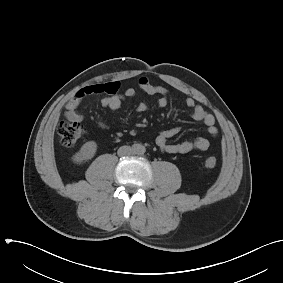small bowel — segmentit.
Listing matches in <instances>:
<instances>
[{"instance_id":"small-bowel-1","label":"small bowel","mask_w":283,"mask_h":283,"mask_svg":"<svg viewBox=\"0 0 283 283\" xmlns=\"http://www.w3.org/2000/svg\"><path fill=\"white\" fill-rule=\"evenodd\" d=\"M138 84L140 89L146 94L150 96H159L154 105L139 103L137 106L139 112H146L151 109L164 108L167 106L169 91L165 87L154 85L145 77L140 78ZM97 94H104V97L101 99V104L104 108L110 111H117L121 107L123 100L136 96V90L129 87L121 93L120 84L116 81L83 87L69 100L65 111V117L71 122H80L83 119V114L79 111V106L82 100L89 95ZM185 104L192 110V118L202 122L206 127V132L210 136H217L218 129L215 126V117L204 110L201 105L197 104L193 98H186ZM97 125L103 129L107 127L102 121H98ZM178 132V128H171L158 134L156 144L161 151L167 154H185L191 151H206L209 148V140L205 137H199L192 141L170 143L169 139L176 136Z\"/></svg>"}]
</instances>
